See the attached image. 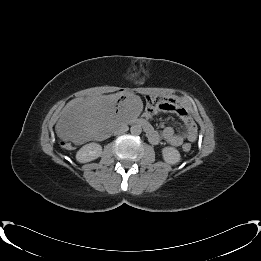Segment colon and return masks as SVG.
<instances>
[{"label":"colon","instance_id":"obj_1","mask_svg":"<svg viewBox=\"0 0 261 261\" xmlns=\"http://www.w3.org/2000/svg\"><path fill=\"white\" fill-rule=\"evenodd\" d=\"M65 145H67V144L65 143ZM182 149H183L184 152H190L191 151V145L186 143L182 146Z\"/></svg>","mask_w":261,"mask_h":261}]
</instances>
